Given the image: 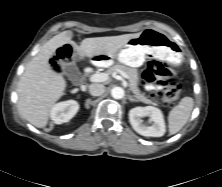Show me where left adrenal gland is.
I'll return each instance as SVG.
<instances>
[{
  "mask_svg": "<svg viewBox=\"0 0 222 187\" xmlns=\"http://www.w3.org/2000/svg\"><path fill=\"white\" fill-rule=\"evenodd\" d=\"M129 101L131 102H138L135 98H133L131 95L128 96Z\"/></svg>",
  "mask_w": 222,
  "mask_h": 187,
  "instance_id": "obj_1",
  "label": "left adrenal gland"
}]
</instances>
